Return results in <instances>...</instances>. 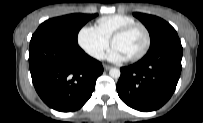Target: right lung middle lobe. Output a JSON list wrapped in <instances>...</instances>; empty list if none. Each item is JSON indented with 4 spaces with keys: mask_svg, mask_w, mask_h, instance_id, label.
Segmentation results:
<instances>
[{
    "mask_svg": "<svg viewBox=\"0 0 203 123\" xmlns=\"http://www.w3.org/2000/svg\"><path fill=\"white\" fill-rule=\"evenodd\" d=\"M96 14H70L43 22L32 35L31 41H52L78 46L77 36L82 26Z\"/></svg>",
    "mask_w": 203,
    "mask_h": 123,
    "instance_id": "obj_1",
    "label": "right lung middle lobe"
}]
</instances>
